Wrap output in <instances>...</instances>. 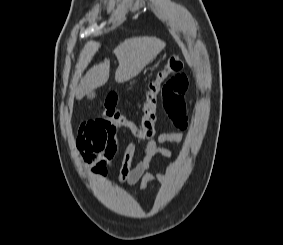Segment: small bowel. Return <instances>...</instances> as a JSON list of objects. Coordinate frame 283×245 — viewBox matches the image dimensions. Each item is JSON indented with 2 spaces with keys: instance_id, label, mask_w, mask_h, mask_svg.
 Listing matches in <instances>:
<instances>
[{
  "instance_id": "obj_1",
  "label": "small bowel",
  "mask_w": 283,
  "mask_h": 245,
  "mask_svg": "<svg viewBox=\"0 0 283 245\" xmlns=\"http://www.w3.org/2000/svg\"><path fill=\"white\" fill-rule=\"evenodd\" d=\"M189 81L185 74L176 73L168 78L162 88L161 104L179 132L159 134L146 144L142 158L133 165L136 143L123 141L118 130L100 118L81 124L76 139V148L83 161L90 167L91 174L105 177L112 168L118 152L124 149L118 181L133 186L139 184L144 191L151 183L168 181L176 171V161L172 160L164 172H158L151 166L156 156L171 158L169 149L161 146L164 143H181L185 139L183 133L188 125L184 95Z\"/></svg>"
}]
</instances>
